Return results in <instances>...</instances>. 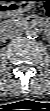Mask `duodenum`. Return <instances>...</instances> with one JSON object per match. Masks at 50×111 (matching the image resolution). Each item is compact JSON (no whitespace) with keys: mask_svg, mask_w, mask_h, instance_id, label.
I'll list each match as a JSON object with an SVG mask.
<instances>
[{"mask_svg":"<svg viewBox=\"0 0 50 111\" xmlns=\"http://www.w3.org/2000/svg\"><path fill=\"white\" fill-rule=\"evenodd\" d=\"M30 26H38V27H41L45 30L48 29V24L42 20L28 19L23 22V28H27Z\"/></svg>","mask_w":50,"mask_h":111,"instance_id":"410a0bca","label":"duodenum"}]
</instances>
